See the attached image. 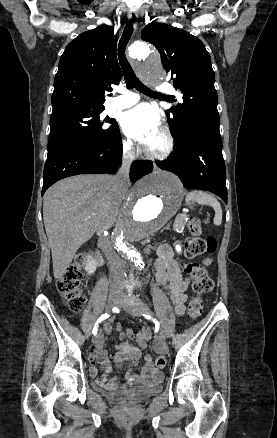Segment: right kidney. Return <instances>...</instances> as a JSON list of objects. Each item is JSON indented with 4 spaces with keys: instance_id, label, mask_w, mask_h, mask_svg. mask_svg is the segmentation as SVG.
Here are the masks:
<instances>
[{
    "instance_id": "1",
    "label": "right kidney",
    "mask_w": 277,
    "mask_h": 438,
    "mask_svg": "<svg viewBox=\"0 0 277 438\" xmlns=\"http://www.w3.org/2000/svg\"><path fill=\"white\" fill-rule=\"evenodd\" d=\"M85 264V272L91 276V274H94L96 272V262L93 260L92 256H87V260H84Z\"/></svg>"
}]
</instances>
